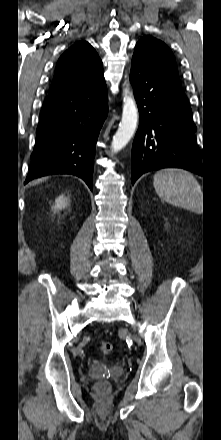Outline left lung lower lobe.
Returning a JSON list of instances; mask_svg holds the SVG:
<instances>
[{"mask_svg": "<svg viewBox=\"0 0 221 440\" xmlns=\"http://www.w3.org/2000/svg\"><path fill=\"white\" fill-rule=\"evenodd\" d=\"M130 80L140 112L132 146V184L148 171L168 167L204 177L196 126L180 81L160 74L138 53L133 54Z\"/></svg>", "mask_w": 221, "mask_h": 440, "instance_id": "obj_1", "label": "left lung lower lobe"}]
</instances>
